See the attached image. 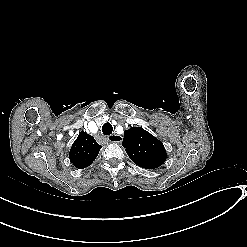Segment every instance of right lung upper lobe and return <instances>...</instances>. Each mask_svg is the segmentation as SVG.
<instances>
[{
  "label": "right lung upper lobe",
  "mask_w": 247,
  "mask_h": 247,
  "mask_svg": "<svg viewBox=\"0 0 247 247\" xmlns=\"http://www.w3.org/2000/svg\"><path fill=\"white\" fill-rule=\"evenodd\" d=\"M101 147L93 136L80 132L70 149V161L78 169L88 167L97 157Z\"/></svg>",
  "instance_id": "obj_1"
}]
</instances>
